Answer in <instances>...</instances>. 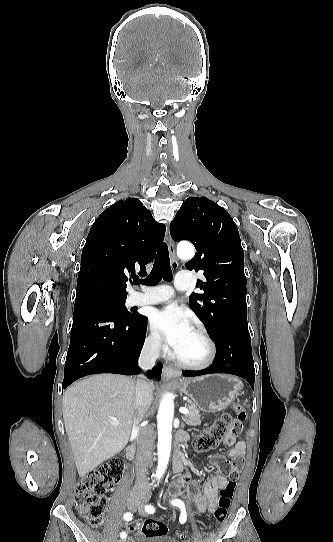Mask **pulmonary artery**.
<instances>
[{
	"label": "pulmonary artery",
	"instance_id": "obj_1",
	"mask_svg": "<svg viewBox=\"0 0 333 542\" xmlns=\"http://www.w3.org/2000/svg\"><path fill=\"white\" fill-rule=\"evenodd\" d=\"M186 272L188 274H186ZM177 271L176 272V279H177V282H176V289L179 291V292H184L187 290V283L190 282V275L189 273L191 272L189 269L187 271ZM137 290L138 289H131V293H137ZM144 296H143V299L144 300H136L134 301V305H157V304H163V303H167L171 300H173V298L175 297V293H171L169 295V292H170V287L168 285H165V284H156V285H145L144 286Z\"/></svg>",
	"mask_w": 333,
	"mask_h": 542
}]
</instances>
